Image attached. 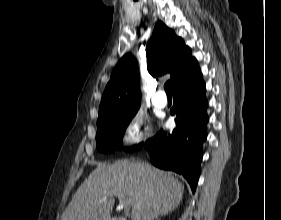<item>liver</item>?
Masks as SVG:
<instances>
[{
  "label": "liver",
  "mask_w": 281,
  "mask_h": 220,
  "mask_svg": "<svg viewBox=\"0 0 281 220\" xmlns=\"http://www.w3.org/2000/svg\"><path fill=\"white\" fill-rule=\"evenodd\" d=\"M112 191L130 197L131 220H154L178 207L184 185L148 163L100 164L77 189L61 220H111Z\"/></svg>",
  "instance_id": "6515ba94"
}]
</instances>
